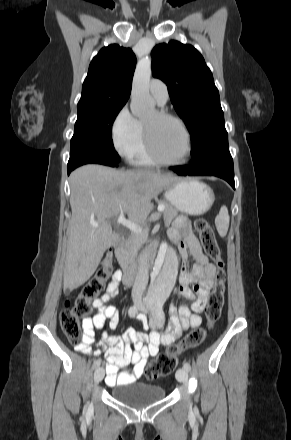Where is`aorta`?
<instances>
[{
    "label": "aorta",
    "instance_id": "aorta-1",
    "mask_svg": "<svg viewBox=\"0 0 291 440\" xmlns=\"http://www.w3.org/2000/svg\"><path fill=\"white\" fill-rule=\"evenodd\" d=\"M151 74V59L148 56L141 58L133 77L130 104L131 112L135 117L144 118L155 110V101L149 94ZM161 251L147 295L149 305L162 304L171 292L176 279L177 257L174 250L162 245Z\"/></svg>",
    "mask_w": 291,
    "mask_h": 440
}]
</instances>
